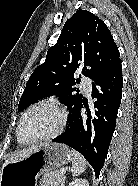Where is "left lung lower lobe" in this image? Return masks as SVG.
Instances as JSON below:
<instances>
[{
  "label": "left lung lower lobe",
  "mask_w": 138,
  "mask_h": 186,
  "mask_svg": "<svg viewBox=\"0 0 138 186\" xmlns=\"http://www.w3.org/2000/svg\"><path fill=\"white\" fill-rule=\"evenodd\" d=\"M122 82L119 59L94 79L92 98L95 101L88 105L82 99L73 106L66 132L52 140L80 152L93 167L96 177L104 165L114 133L121 103ZM81 108L86 109L84 114H81Z\"/></svg>",
  "instance_id": "left-lung-lower-lobe-1"
}]
</instances>
